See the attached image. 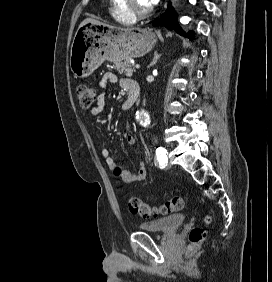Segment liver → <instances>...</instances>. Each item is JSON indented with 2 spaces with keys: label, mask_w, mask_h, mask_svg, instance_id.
<instances>
[{
  "label": "liver",
  "mask_w": 272,
  "mask_h": 282,
  "mask_svg": "<svg viewBox=\"0 0 272 282\" xmlns=\"http://www.w3.org/2000/svg\"><path fill=\"white\" fill-rule=\"evenodd\" d=\"M86 23H94V24H98V23H100L99 21H96V20H94V19H91V18H87V19H85L84 21H82V23L80 24V26H82V25H84V24H86ZM79 26V27H80ZM107 26H109V25H107ZM109 27H112V26H109Z\"/></svg>",
  "instance_id": "obj_1"
}]
</instances>
